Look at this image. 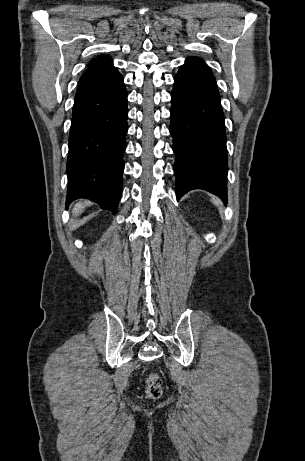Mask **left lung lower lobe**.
<instances>
[{
	"label": "left lung lower lobe",
	"instance_id": "1",
	"mask_svg": "<svg viewBox=\"0 0 305 461\" xmlns=\"http://www.w3.org/2000/svg\"><path fill=\"white\" fill-rule=\"evenodd\" d=\"M171 101L177 198L192 189H203L226 203L224 115L215 78L205 62L187 58L174 78Z\"/></svg>",
	"mask_w": 305,
	"mask_h": 461
}]
</instances>
